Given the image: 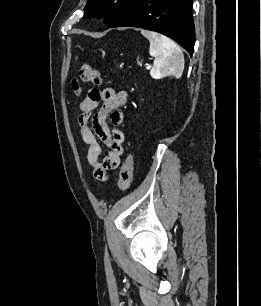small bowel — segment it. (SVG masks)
I'll list each match as a JSON object with an SVG mask.
<instances>
[{
    "mask_svg": "<svg viewBox=\"0 0 261 306\" xmlns=\"http://www.w3.org/2000/svg\"><path fill=\"white\" fill-rule=\"evenodd\" d=\"M127 102L125 91L112 88L92 89L79 105L78 126L84 143L88 146L87 160L97 180H106L108 172L116 169L123 155L124 133L118 128L123 122L120 108ZM101 143L108 154L101 158Z\"/></svg>",
    "mask_w": 261,
    "mask_h": 306,
    "instance_id": "small-bowel-1",
    "label": "small bowel"
}]
</instances>
